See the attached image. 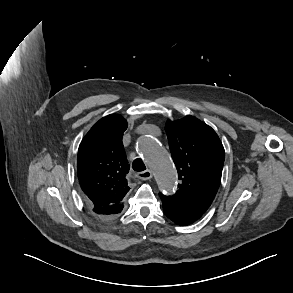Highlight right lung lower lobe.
I'll list each match as a JSON object with an SVG mask.
<instances>
[{
    "label": "right lung lower lobe",
    "mask_w": 293,
    "mask_h": 293,
    "mask_svg": "<svg viewBox=\"0 0 293 293\" xmlns=\"http://www.w3.org/2000/svg\"><path fill=\"white\" fill-rule=\"evenodd\" d=\"M123 207V204H120L114 206L93 208L92 211L99 218L103 220H109L114 218L117 214H119L122 211Z\"/></svg>",
    "instance_id": "right-lung-lower-lobe-1"
}]
</instances>
